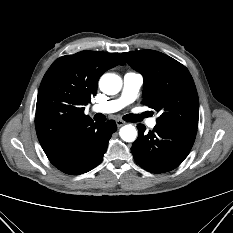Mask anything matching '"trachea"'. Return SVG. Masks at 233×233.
Segmentation results:
<instances>
[{
  "instance_id": "3493384b",
  "label": "trachea",
  "mask_w": 233,
  "mask_h": 233,
  "mask_svg": "<svg viewBox=\"0 0 233 233\" xmlns=\"http://www.w3.org/2000/svg\"><path fill=\"white\" fill-rule=\"evenodd\" d=\"M148 115H149L148 113H144L142 115L128 114L124 117V119H125V121H128V122H139L144 117H147ZM94 120L97 122H104L105 116L103 114L98 113L94 116Z\"/></svg>"
}]
</instances>
